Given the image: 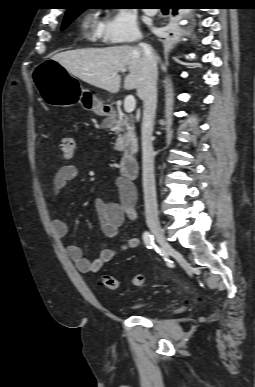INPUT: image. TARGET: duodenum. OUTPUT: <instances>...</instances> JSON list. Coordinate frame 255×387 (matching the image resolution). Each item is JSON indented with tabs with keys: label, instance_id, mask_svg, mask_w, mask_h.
<instances>
[{
	"label": "duodenum",
	"instance_id": "obj_1",
	"mask_svg": "<svg viewBox=\"0 0 255 387\" xmlns=\"http://www.w3.org/2000/svg\"><path fill=\"white\" fill-rule=\"evenodd\" d=\"M108 114H111V110L106 111ZM120 170L122 175L129 179H136L139 175L140 165L137 157L135 156H125L120 162Z\"/></svg>",
	"mask_w": 255,
	"mask_h": 387
}]
</instances>
